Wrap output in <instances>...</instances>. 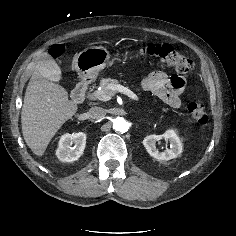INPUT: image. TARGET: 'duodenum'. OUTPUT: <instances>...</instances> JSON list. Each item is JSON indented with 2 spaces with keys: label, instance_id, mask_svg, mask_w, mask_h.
Listing matches in <instances>:
<instances>
[{
  "label": "duodenum",
  "instance_id": "1",
  "mask_svg": "<svg viewBox=\"0 0 236 236\" xmlns=\"http://www.w3.org/2000/svg\"><path fill=\"white\" fill-rule=\"evenodd\" d=\"M89 87V81L86 78H81L72 93V98L75 102L81 103L85 100Z\"/></svg>",
  "mask_w": 236,
  "mask_h": 236
}]
</instances>
